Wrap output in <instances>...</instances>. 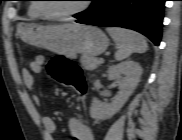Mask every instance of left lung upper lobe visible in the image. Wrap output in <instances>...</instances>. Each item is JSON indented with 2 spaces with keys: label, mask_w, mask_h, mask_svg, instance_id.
<instances>
[{
  "label": "left lung upper lobe",
  "mask_w": 182,
  "mask_h": 140,
  "mask_svg": "<svg viewBox=\"0 0 182 140\" xmlns=\"http://www.w3.org/2000/svg\"><path fill=\"white\" fill-rule=\"evenodd\" d=\"M99 0H94V4L91 6V8L98 2ZM88 11V10H87ZM87 11H84V12H82L81 14H84L85 12H87Z\"/></svg>",
  "instance_id": "1"
}]
</instances>
